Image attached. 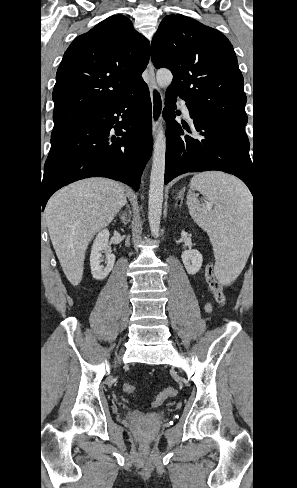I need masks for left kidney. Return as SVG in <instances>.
<instances>
[{"label": "left kidney", "mask_w": 297, "mask_h": 488, "mask_svg": "<svg viewBox=\"0 0 297 488\" xmlns=\"http://www.w3.org/2000/svg\"><path fill=\"white\" fill-rule=\"evenodd\" d=\"M181 258L186 271L190 275H194L199 272L203 262V257L199 251L195 249L185 250L182 253Z\"/></svg>", "instance_id": "5707ae66"}]
</instances>
